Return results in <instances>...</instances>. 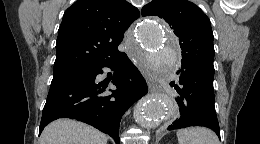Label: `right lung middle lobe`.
I'll return each mask as SVG.
<instances>
[{
  "label": "right lung middle lobe",
  "mask_w": 260,
  "mask_h": 144,
  "mask_svg": "<svg viewBox=\"0 0 260 144\" xmlns=\"http://www.w3.org/2000/svg\"><path fill=\"white\" fill-rule=\"evenodd\" d=\"M68 71H70V70H64V71H54V73H53V77L60 76V75H62V74H64V73H66V72H68Z\"/></svg>",
  "instance_id": "dd1d6c3e"
}]
</instances>
